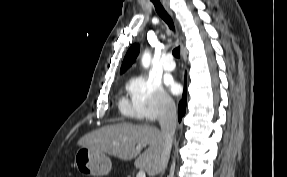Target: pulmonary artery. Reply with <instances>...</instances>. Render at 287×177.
I'll return each instance as SVG.
<instances>
[{"label": "pulmonary artery", "mask_w": 287, "mask_h": 177, "mask_svg": "<svg viewBox=\"0 0 287 177\" xmlns=\"http://www.w3.org/2000/svg\"><path fill=\"white\" fill-rule=\"evenodd\" d=\"M163 68L165 71L171 72L174 70L175 68V63H174V59H173V55L172 53H166L165 54V59L163 62Z\"/></svg>", "instance_id": "1"}]
</instances>
